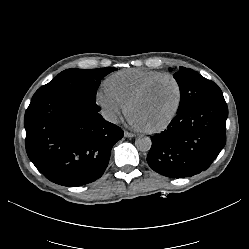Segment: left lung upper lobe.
<instances>
[{"label":"left lung upper lobe","instance_id":"left-lung-upper-lobe-1","mask_svg":"<svg viewBox=\"0 0 249 249\" xmlns=\"http://www.w3.org/2000/svg\"><path fill=\"white\" fill-rule=\"evenodd\" d=\"M169 70L172 71L171 68ZM173 76L180 87L181 94L177 114L198 102L224 98L221 89L213 81L204 78L192 69L180 67Z\"/></svg>","mask_w":249,"mask_h":249}]
</instances>
